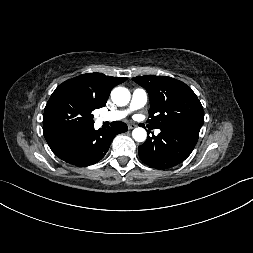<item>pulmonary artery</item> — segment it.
Masks as SVG:
<instances>
[{"label": "pulmonary artery", "mask_w": 253, "mask_h": 253, "mask_svg": "<svg viewBox=\"0 0 253 253\" xmlns=\"http://www.w3.org/2000/svg\"><path fill=\"white\" fill-rule=\"evenodd\" d=\"M148 94L146 90L142 88H135L132 92L131 101L129 106L123 110H115L110 112L102 113L99 116L100 122H111L118 121L125 118L128 114L133 112L134 110L140 109L147 103ZM157 134L160 133V130L155 131Z\"/></svg>", "instance_id": "1"}]
</instances>
